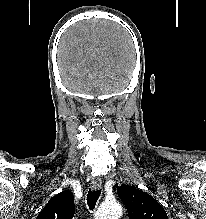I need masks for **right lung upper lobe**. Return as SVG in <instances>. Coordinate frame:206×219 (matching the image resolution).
Returning <instances> with one entry per match:
<instances>
[{"instance_id":"cb5924a9","label":"right lung upper lobe","mask_w":206,"mask_h":219,"mask_svg":"<svg viewBox=\"0 0 206 219\" xmlns=\"http://www.w3.org/2000/svg\"><path fill=\"white\" fill-rule=\"evenodd\" d=\"M74 213V196L67 190L52 197L36 219H72Z\"/></svg>"}]
</instances>
